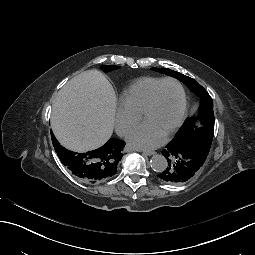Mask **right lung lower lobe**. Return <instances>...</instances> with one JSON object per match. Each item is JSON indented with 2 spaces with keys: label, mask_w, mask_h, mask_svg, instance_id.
Masks as SVG:
<instances>
[{
  "label": "right lung lower lobe",
  "mask_w": 255,
  "mask_h": 255,
  "mask_svg": "<svg viewBox=\"0 0 255 255\" xmlns=\"http://www.w3.org/2000/svg\"><path fill=\"white\" fill-rule=\"evenodd\" d=\"M100 161L91 155L83 158V177L86 179L98 178L100 176Z\"/></svg>",
  "instance_id": "right-lung-lower-lobe-1"
}]
</instances>
